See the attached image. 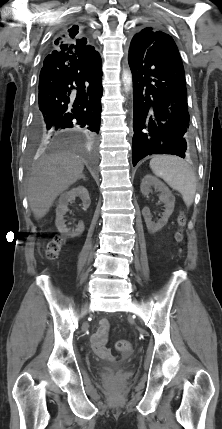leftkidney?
Listing matches in <instances>:
<instances>
[{
    "instance_id": "1",
    "label": "left kidney",
    "mask_w": 222,
    "mask_h": 429,
    "mask_svg": "<svg viewBox=\"0 0 222 429\" xmlns=\"http://www.w3.org/2000/svg\"><path fill=\"white\" fill-rule=\"evenodd\" d=\"M151 187H154L156 190L161 192L159 199L165 205V210L162 214L161 219L155 223L151 220V214L148 207H144L142 210V214L144 216L146 226L149 232L155 233L161 230L168 222V218L173 213L174 205H175V197L170 192L169 188L158 180L156 177L152 175H146L142 179L141 183V192L144 196H147L151 192Z\"/></svg>"
}]
</instances>
